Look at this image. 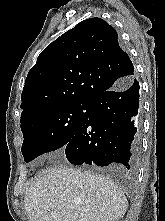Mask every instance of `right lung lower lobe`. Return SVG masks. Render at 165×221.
<instances>
[{
  "mask_svg": "<svg viewBox=\"0 0 165 221\" xmlns=\"http://www.w3.org/2000/svg\"><path fill=\"white\" fill-rule=\"evenodd\" d=\"M139 82L132 78L90 101L88 120L65 146L70 163L123 165L133 171L140 155Z\"/></svg>",
  "mask_w": 165,
  "mask_h": 221,
  "instance_id": "98d812e1",
  "label": "right lung lower lobe"
}]
</instances>
